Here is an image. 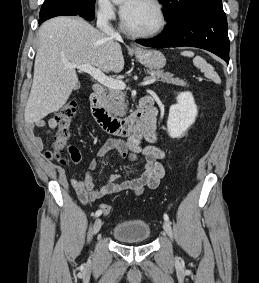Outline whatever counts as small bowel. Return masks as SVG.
<instances>
[{
    "instance_id": "small-bowel-1",
    "label": "small bowel",
    "mask_w": 259,
    "mask_h": 283,
    "mask_svg": "<svg viewBox=\"0 0 259 283\" xmlns=\"http://www.w3.org/2000/svg\"><path fill=\"white\" fill-rule=\"evenodd\" d=\"M43 127H47V133L51 132L57 127L55 119L35 120L27 123L25 128L27 137L37 151L43 150L44 143L43 139L36 133V129ZM142 139L148 141L149 145L142 147ZM158 139L156 121L153 119L149 126L135 133L134 137L128 142L117 138L106 141L97 151L98 157L103 158L112 150L117 151L120 159L134 160L138 156H142L145 159L143 174L137 179L118 182L119 174L114 173L101 188H96L94 173L97 168V160L92 159L85 174L81 178L71 180V184L80 201L83 203L94 202L108 194L124 191L140 195L145 188H157L165 176V167L161 161L166 157V153L156 145ZM46 168L49 173L54 172V168L51 165H47ZM58 173L61 176L63 175V172L60 170Z\"/></svg>"
}]
</instances>
